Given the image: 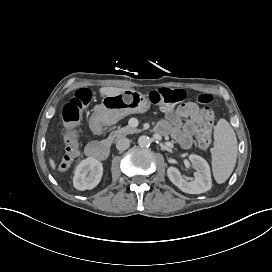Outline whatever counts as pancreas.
I'll use <instances>...</instances> for the list:
<instances>
[{
	"label": "pancreas",
	"instance_id": "1",
	"mask_svg": "<svg viewBox=\"0 0 272 272\" xmlns=\"http://www.w3.org/2000/svg\"><path fill=\"white\" fill-rule=\"evenodd\" d=\"M117 121H118V119H113L108 124L111 125V124L116 123ZM135 131H136V128L126 126V127L120 128L118 130L112 131L111 135L107 139H105V141H109L110 143H114L118 139L125 137L128 134H132Z\"/></svg>",
	"mask_w": 272,
	"mask_h": 272
}]
</instances>
